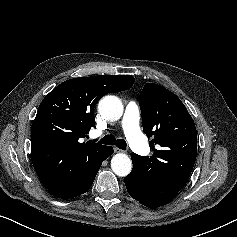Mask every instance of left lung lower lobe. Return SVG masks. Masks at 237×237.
Listing matches in <instances>:
<instances>
[{
  "mask_svg": "<svg viewBox=\"0 0 237 237\" xmlns=\"http://www.w3.org/2000/svg\"><path fill=\"white\" fill-rule=\"evenodd\" d=\"M133 162V169L131 173L124 178L125 185L128 193L139 203L154 209L160 206L170 203L178 194H165V193H156L153 194L154 185L149 182H143L139 178L138 170L135 165V159L131 156Z\"/></svg>",
  "mask_w": 237,
  "mask_h": 237,
  "instance_id": "1",
  "label": "left lung lower lobe"
}]
</instances>
